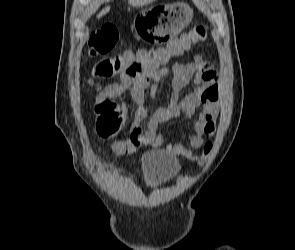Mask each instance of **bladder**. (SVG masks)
Returning a JSON list of instances; mask_svg holds the SVG:
<instances>
[{
    "label": "bladder",
    "mask_w": 295,
    "mask_h": 250,
    "mask_svg": "<svg viewBox=\"0 0 295 250\" xmlns=\"http://www.w3.org/2000/svg\"><path fill=\"white\" fill-rule=\"evenodd\" d=\"M142 167L147 184L153 188L172 181L181 169L174 156L163 151H148L142 156Z\"/></svg>",
    "instance_id": "31cf9c89"
}]
</instances>
